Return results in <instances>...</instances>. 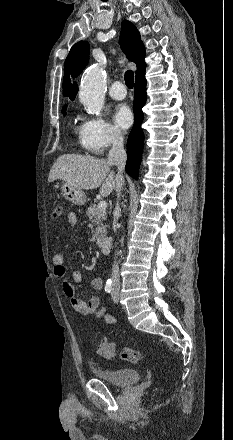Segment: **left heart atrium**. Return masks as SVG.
I'll list each match as a JSON object with an SVG mask.
<instances>
[{"label":"left heart atrium","instance_id":"obj_1","mask_svg":"<svg viewBox=\"0 0 233 440\" xmlns=\"http://www.w3.org/2000/svg\"><path fill=\"white\" fill-rule=\"evenodd\" d=\"M112 117L115 125L121 129H127L133 122L132 112L125 104L116 105Z\"/></svg>","mask_w":233,"mask_h":440}]
</instances>
